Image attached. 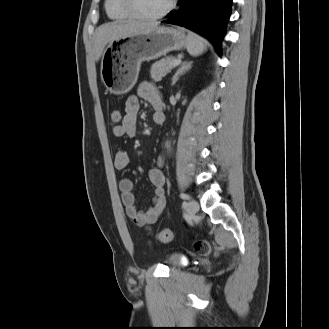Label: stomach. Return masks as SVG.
Wrapping results in <instances>:
<instances>
[{
  "label": "stomach",
  "instance_id": "0dacf381",
  "mask_svg": "<svg viewBox=\"0 0 329 329\" xmlns=\"http://www.w3.org/2000/svg\"><path fill=\"white\" fill-rule=\"evenodd\" d=\"M186 35L174 27H156L148 32L111 41L101 60V79L113 94L129 92L138 79L141 63L157 59L186 45Z\"/></svg>",
  "mask_w": 329,
  "mask_h": 329
}]
</instances>
